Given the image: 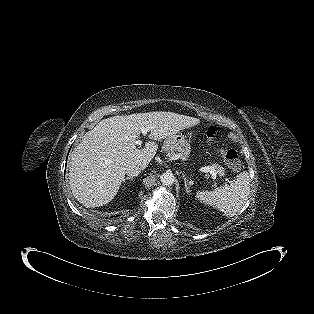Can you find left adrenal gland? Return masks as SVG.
Segmentation results:
<instances>
[{"label": "left adrenal gland", "instance_id": "obj_1", "mask_svg": "<svg viewBox=\"0 0 314 314\" xmlns=\"http://www.w3.org/2000/svg\"><path fill=\"white\" fill-rule=\"evenodd\" d=\"M183 179H184V185H185V191L186 193H189V189H188V184L192 185L191 182H188V179L186 178V176L183 174Z\"/></svg>", "mask_w": 314, "mask_h": 314}]
</instances>
